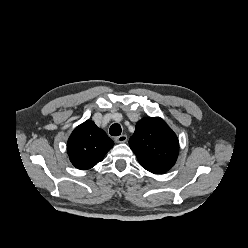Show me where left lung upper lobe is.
I'll return each instance as SVG.
<instances>
[{"label":"left lung upper lobe","mask_w":248,"mask_h":248,"mask_svg":"<svg viewBox=\"0 0 248 248\" xmlns=\"http://www.w3.org/2000/svg\"><path fill=\"white\" fill-rule=\"evenodd\" d=\"M129 145L140 165L155 174L170 170L179 153L177 136L160 117L138 121Z\"/></svg>","instance_id":"obj_1"}]
</instances>
